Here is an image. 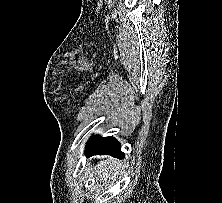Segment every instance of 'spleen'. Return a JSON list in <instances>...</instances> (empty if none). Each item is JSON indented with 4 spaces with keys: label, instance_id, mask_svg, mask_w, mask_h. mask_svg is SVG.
Segmentation results:
<instances>
[{
    "label": "spleen",
    "instance_id": "spleen-1",
    "mask_svg": "<svg viewBox=\"0 0 222 203\" xmlns=\"http://www.w3.org/2000/svg\"><path fill=\"white\" fill-rule=\"evenodd\" d=\"M124 173V165L121 161L111 158L102 160L92 170L94 177L106 184L116 183L117 178Z\"/></svg>",
    "mask_w": 222,
    "mask_h": 203
}]
</instances>
